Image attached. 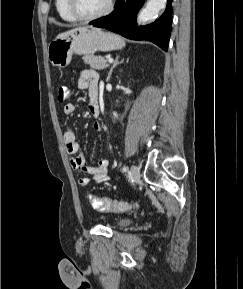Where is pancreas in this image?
<instances>
[{
	"mask_svg": "<svg viewBox=\"0 0 243 289\" xmlns=\"http://www.w3.org/2000/svg\"><path fill=\"white\" fill-rule=\"evenodd\" d=\"M83 61L85 64L96 70H103L109 67L107 59H105L103 56L85 55L83 57Z\"/></svg>",
	"mask_w": 243,
	"mask_h": 289,
	"instance_id": "obj_1",
	"label": "pancreas"
}]
</instances>
